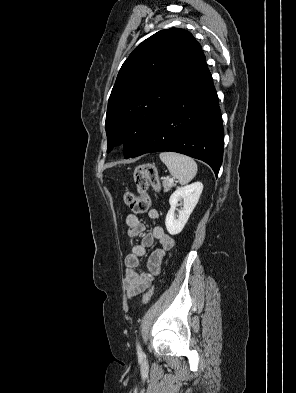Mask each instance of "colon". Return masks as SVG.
<instances>
[{
    "instance_id": "1",
    "label": "colon",
    "mask_w": 296,
    "mask_h": 393,
    "mask_svg": "<svg viewBox=\"0 0 296 393\" xmlns=\"http://www.w3.org/2000/svg\"><path fill=\"white\" fill-rule=\"evenodd\" d=\"M134 181L137 187L138 195L129 191L124 193V202L135 214H142L150 208L149 187L155 191L160 190V181L156 168L152 164L138 165L134 171ZM154 294V288H150L142 297V302L147 304Z\"/></svg>"
}]
</instances>
